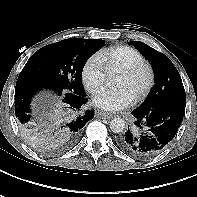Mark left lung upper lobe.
I'll return each instance as SVG.
<instances>
[{
	"mask_svg": "<svg viewBox=\"0 0 197 197\" xmlns=\"http://www.w3.org/2000/svg\"><path fill=\"white\" fill-rule=\"evenodd\" d=\"M129 43L151 62L154 70L155 85L146 100L138 107L139 109L149 110L163 100L174 97H186L179 72L168 57L143 42L131 41Z\"/></svg>",
	"mask_w": 197,
	"mask_h": 197,
	"instance_id": "1",
	"label": "left lung upper lobe"
}]
</instances>
